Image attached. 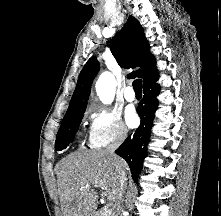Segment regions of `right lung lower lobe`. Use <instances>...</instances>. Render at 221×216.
Returning <instances> with one entry per match:
<instances>
[{"label":"right lung lower lobe","mask_w":221,"mask_h":216,"mask_svg":"<svg viewBox=\"0 0 221 216\" xmlns=\"http://www.w3.org/2000/svg\"><path fill=\"white\" fill-rule=\"evenodd\" d=\"M158 73L143 83V100L137 107L141 118V125L132 136H129L115 153L126 160L132 177L136 180L141 172L143 159L146 156L147 144L151 135V127L154 119V112L157 108L160 86L156 83Z\"/></svg>","instance_id":"obj_1"}]
</instances>
